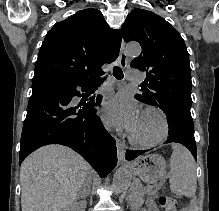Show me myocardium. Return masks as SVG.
Instances as JSON below:
<instances>
[{
  "mask_svg": "<svg viewBox=\"0 0 219 211\" xmlns=\"http://www.w3.org/2000/svg\"><path fill=\"white\" fill-rule=\"evenodd\" d=\"M146 112H155L160 116L162 120V129H161L160 134L152 139H141L133 135L132 132H130L129 141L134 145L143 146V147H151V146H154L160 143L167 137L168 131H169V121H168V117L166 113L158 106H154V105L146 106L141 110L140 115Z\"/></svg>",
  "mask_w": 219,
  "mask_h": 211,
  "instance_id": "f54148a6",
  "label": "myocardium"
}]
</instances>
